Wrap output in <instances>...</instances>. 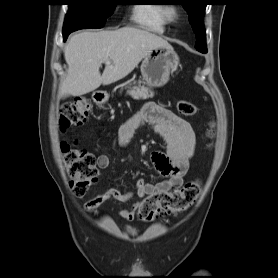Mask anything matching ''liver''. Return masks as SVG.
I'll return each instance as SVG.
<instances>
[{"instance_id":"6515ba94","label":"liver","mask_w":278,"mask_h":278,"mask_svg":"<svg viewBox=\"0 0 278 278\" xmlns=\"http://www.w3.org/2000/svg\"><path fill=\"white\" fill-rule=\"evenodd\" d=\"M156 47H170L163 38L146 30L123 27L114 31H85L74 35L64 49L68 72L61 95L80 96L109 85L131 73ZM105 63L101 75L99 69Z\"/></svg>"}]
</instances>
